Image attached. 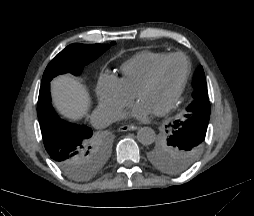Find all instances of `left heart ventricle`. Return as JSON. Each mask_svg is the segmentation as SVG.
I'll use <instances>...</instances> for the list:
<instances>
[{"instance_id": "obj_1", "label": "left heart ventricle", "mask_w": 254, "mask_h": 216, "mask_svg": "<svg viewBox=\"0 0 254 216\" xmlns=\"http://www.w3.org/2000/svg\"><path fill=\"white\" fill-rule=\"evenodd\" d=\"M186 69L182 58H173L161 68L156 81L141 92L138 101L153 109L154 112L164 108L173 97Z\"/></svg>"}]
</instances>
